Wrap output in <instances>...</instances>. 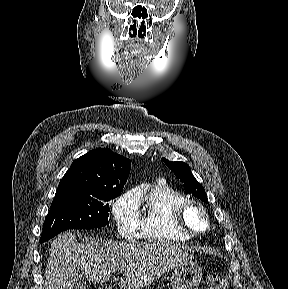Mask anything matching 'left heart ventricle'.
<instances>
[{
    "label": "left heart ventricle",
    "instance_id": "obj_1",
    "mask_svg": "<svg viewBox=\"0 0 288 289\" xmlns=\"http://www.w3.org/2000/svg\"><path fill=\"white\" fill-rule=\"evenodd\" d=\"M185 222L189 228L194 231L205 228V220L202 213L194 207L187 209L185 213Z\"/></svg>",
    "mask_w": 288,
    "mask_h": 289
}]
</instances>
